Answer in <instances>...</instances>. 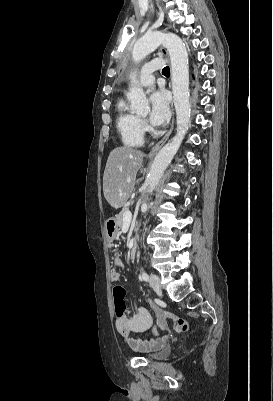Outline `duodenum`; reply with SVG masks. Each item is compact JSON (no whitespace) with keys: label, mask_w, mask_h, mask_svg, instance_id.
<instances>
[{"label":"duodenum","mask_w":273,"mask_h":401,"mask_svg":"<svg viewBox=\"0 0 273 401\" xmlns=\"http://www.w3.org/2000/svg\"><path fill=\"white\" fill-rule=\"evenodd\" d=\"M136 253H137V245L135 242H133L130 247V259L131 260H134L136 258Z\"/></svg>","instance_id":"1"}]
</instances>
